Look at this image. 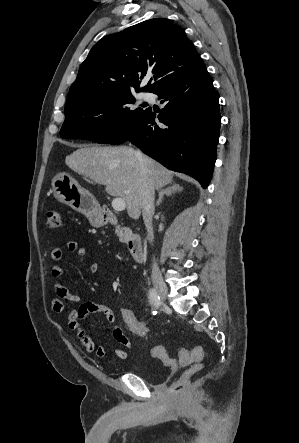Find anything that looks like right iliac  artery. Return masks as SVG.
Instances as JSON below:
<instances>
[{
  "label": "right iliac artery",
  "mask_w": 299,
  "mask_h": 443,
  "mask_svg": "<svg viewBox=\"0 0 299 443\" xmlns=\"http://www.w3.org/2000/svg\"><path fill=\"white\" fill-rule=\"evenodd\" d=\"M149 300H150V303L152 305H154L156 308H158L160 306V303H161L160 302V297H159L156 289L151 288L149 290Z\"/></svg>",
  "instance_id": "right-iliac-artery-1"
}]
</instances>
